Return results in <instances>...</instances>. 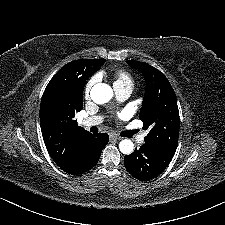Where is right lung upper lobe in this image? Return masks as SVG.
Masks as SVG:
<instances>
[{
	"label": "right lung upper lobe",
	"instance_id": "obj_1",
	"mask_svg": "<svg viewBox=\"0 0 225 225\" xmlns=\"http://www.w3.org/2000/svg\"><path fill=\"white\" fill-rule=\"evenodd\" d=\"M102 59H81L64 65L48 83L40 105V125L45 146L54 162L64 171L75 166L77 146L90 135L77 125L75 114L83 109L85 81L100 69Z\"/></svg>",
	"mask_w": 225,
	"mask_h": 225
}]
</instances>
